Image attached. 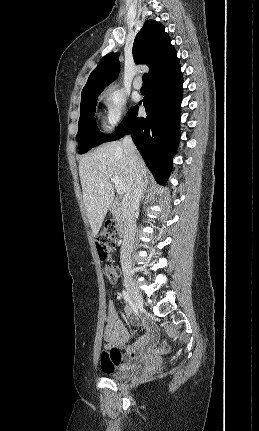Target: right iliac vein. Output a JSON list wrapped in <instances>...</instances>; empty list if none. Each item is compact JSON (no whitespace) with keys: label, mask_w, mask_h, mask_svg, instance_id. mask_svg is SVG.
Listing matches in <instances>:
<instances>
[{"label":"right iliac vein","mask_w":259,"mask_h":431,"mask_svg":"<svg viewBox=\"0 0 259 431\" xmlns=\"http://www.w3.org/2000/svg\"><path fill=\"white\" fill-rule=\"evenodd\" d=\"M125 287L130 295L132 303L139 309L143 308V297L135 285L133 279L126 275L124 278Z\"/></svg>","instance_id":"63e3f726"}]
</instances>
